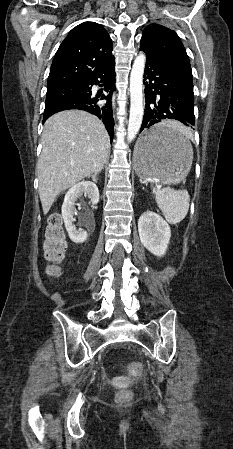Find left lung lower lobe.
<instances>
[{
	"instance_id": "0a47b994",
	"label": "left lung lower lobe",
	"mask_w": 233,
	"mask_h": 449,
	"mask_svg": "<svg viewBox=\"0 0 233 449\" xmlns=\"http://www.w3.org/2000/svg\"><path fill=\"white\" fill-rule=\"evenodd\" d=\"M145 114L140 131L163 119H175L187 126L195 124L193 84L172 70L146 59L144 73ZM182 138L173 133L147 134L143 151L179 145Z\"/></svg>"
}]
</instances>
